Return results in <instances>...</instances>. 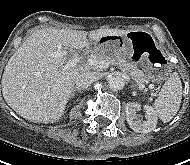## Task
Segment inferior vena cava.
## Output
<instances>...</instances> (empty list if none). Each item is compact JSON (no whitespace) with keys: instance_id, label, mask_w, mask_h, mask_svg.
Instances as JSON below:
<instances>
[{"instance_id":"602c4592","label":"inferior vena cava","mask_w":190,"mask_h":165,"mask_svg":"<svg viewBox=\"0 0 190 165\" xmlns=\"http://www.w3.org/2000/svg\"><path fill=\"white\" fill-rule=\"evenodd\" d=\"M98 79H99V74L97 72L84 71L78 74V76L76 77L75 85L77 89H86Z\"/></svg>"}]
</instances>
